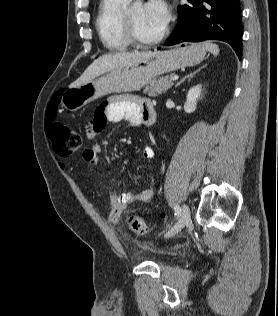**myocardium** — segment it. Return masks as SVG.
Wrapping results in <instances>:
<instances>
[{
    "instance_id": "f54148a6",
    "label": "myocardium",
    "mask_w": 278,
    "mask_h": 316,
    "mask_svg": "<svg viewBox=\"0 0 278 316\" xmlns=\"http://www.w3.org/2000/svg\"><path fill=\"white\" fill-rule=\"evenodd\" d=\"M123 22H124L125 33L129 42L139 47H148V46L158 44L167 36L169 32V29L165 27L158 36L152 39H143L138 35L135 29L134 23L128 12L124 13Z\"/></svg>"
}]
</instances>
